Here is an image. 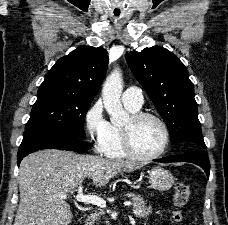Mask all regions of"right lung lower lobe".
<instances>
[{
    "label": "right lung lower lobe",
    "mask_w": 228,
    "mask_h": 225,
    "mask_svg": "<svg viewBox=\"0 0 228 225\" xmlns=\"http://www.w3.org/2000/svg\"><path fill=\"white\" fill-rule=\"evenodd\" d=\"M81 139L69 132L56 129L26 131L24 132L23 141L18 150V166L25 156L42 149L84 152L86 151V147Z\"/></svg>",
    "instance_id": "1"
}]
</instances>
